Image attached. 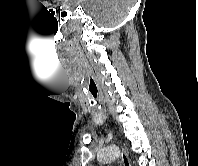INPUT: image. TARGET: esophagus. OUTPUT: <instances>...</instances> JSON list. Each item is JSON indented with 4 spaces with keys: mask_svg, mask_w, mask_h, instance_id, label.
<instances>
[{
    "mask_svg": "<svg viewBox=\"0 0 198 166\" xmlns=\"http://www.w3.org/2000/svg\"><path fill=\"white\" fill-rule=\"evenodd\" d=\"M121 162L123 166H131L130 158L124 148L121 150Z\"/></svg>",
    "mask_w": 198,
    "mask_h": 166,
    "instance_id": "34e87169",
    "label": "esophagus"
}]
</instances>
